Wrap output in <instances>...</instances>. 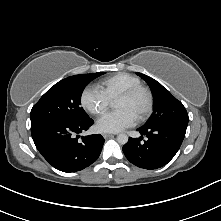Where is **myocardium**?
<instances>
[{
	"instance_id": "f54148a6",
	"label": "myocardium",
	"mask_w": 221,
	"mask_h": 221,
	"mask_svg": "<svg viewBox=\"0 0 221 221\" xmlns=\"http://www.w3.org/2000/svg\"><path fill=\"white\" fill-rule=\"evenodd\" d=\"M143 92L147 96V105L145 109L142 111V113L136 118L138 122H141L145 120L152 112L153 106H154V98H153V93L152 91L144 85H137L134 87H131L125 91H123L121 94L118 95L117 99H128L136 94Z\"/></svg>"
}]
</instances>
